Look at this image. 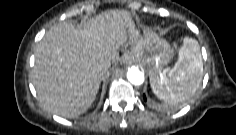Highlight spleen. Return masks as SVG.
<instances>
[{
	"label": "spleen",
	"mask_w": 236,
	"mask_h": 135,
	"mask_svg": "<svg viewBox=\"0 0 236 135\" xmlns=\"http://www.w3.org/2000/svg\"><path fill=\"white\" fill-rule=\"evenodd\" d=\"M203 75V60L197 40L185 37L178 60L168 72L150 77L154 94L161 100L176 104L191 98L199 88Z\"/></svg>",
	"instance_id": "3e777b00"
}]
</instances>
